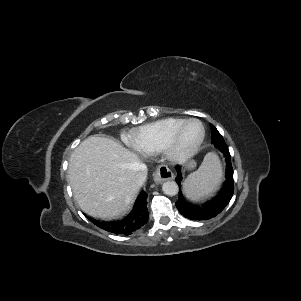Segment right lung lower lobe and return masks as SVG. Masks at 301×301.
Listing matches in <instances>:
<instances>
[{"instance_id": "98d812e1", "label": "right lung lower lobe", "mask_w": 301, "mask_h": 301, "mask_svg": "<svg viewBox=\"0 0 301 301\" xmlns=\"http://www.w3.org/2000/svg\"><path fill=\"white\" fill-rule=\"evenodd\" d=\"M147 193L142 191L136 199L131 213L121 220L97 221L87 217L95 225L114 234L130 235L148 221L146 208Z\"/></svg>"}]
</instances>
